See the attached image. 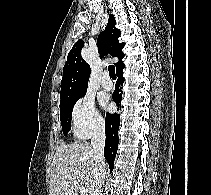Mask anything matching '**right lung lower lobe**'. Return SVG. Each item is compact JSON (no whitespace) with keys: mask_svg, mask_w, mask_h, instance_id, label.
<instances>
[{"mask_svg":"<svg viewBox=\"0 0 211 195\" xmlns=\"http://www.w3.org/2000/svg\"><path fill=\"white\" fill-rule=\"evenodd\" d=\"M118 81L116 84V89L112 95L113 100L117 106L121 107V97L122 91L119 89V86L123 83V69L117 71ZM120 123V115L115 114H106L105 119V131H106V141L104 147V156L109 164L110 171L114 168V160L118 149V129Z\"/></svg>","mask_w":211,"mask_h":195,"instance_id":"right-lung-lower-lobe-1","label":"right lung lower lobe"}]
</instances>
